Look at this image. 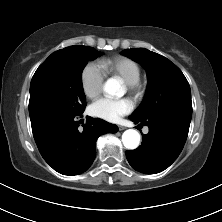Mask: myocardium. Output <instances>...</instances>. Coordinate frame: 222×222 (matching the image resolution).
Masks as SVG:
<instances>
[{
	"mask_svg": "<svg viewBox=\"0 0 222 222\" xmlns=\"http://www.w3.org/2000/svg\"><path fill=\"white\" fill-rule=\"evenodd\" d=\"M129 93L136 99L139 100L144 95V86L140 81L134 83H125Z\"/></svg>",
	"mask_w": 222,
	"mask_h": 222,
	"instance_id": "myocardium-1",
	"label": "myocardium"
}]
</instances>
